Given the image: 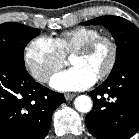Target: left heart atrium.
Instances as JSON below:
<instances>
[{
	"label": "left heart atrium",
	"mask_w": 139,
	"mask_h": 139,
	"mask_svg": "<svg viewBox=\"0 0 139 139\" xmlns=\"http://www.w3.org/2000/svg\"><path fill=\"white\" fill-rule=\"evenodd\" d=\"M97 76L89 70L73 66L72 68L54 75L51 86L58 91H79L92 86Z\"/></svg>",
	"instance_id": "left-heart-atrium-1"
}]
</instances>
